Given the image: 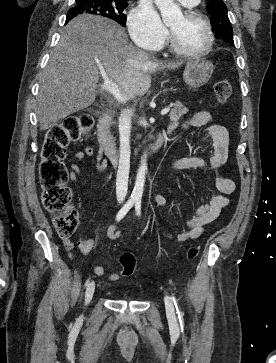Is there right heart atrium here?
Here are the masks:
<instances>
[{"label": "right heart atrium", "instance_id": "right-heart-atrium-1", "mask_svg": "<svg viewBox=\"0 0 276 363\" xmlns=\"http://www.w3.org/2000/svg\"><path fill=\"white\" fill-rule=\"evenodd\" d=\"M128 27L134 42L148 50L160 49L168 39V30L153 6L140 2L129 14Z\"/></svg>", "mask_w": 276, "mask_h": 363}]
</instances>
